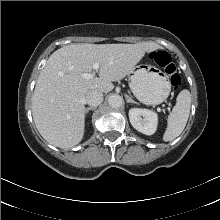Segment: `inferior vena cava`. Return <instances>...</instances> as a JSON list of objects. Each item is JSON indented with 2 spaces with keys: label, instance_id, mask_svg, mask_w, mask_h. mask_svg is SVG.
Listing matches in <instances>:
<instances>
[{
  "label": "inferior vena cava",
  "instance_id": "1",
  "mask_svg": "<svg viewBox=\"0 0 220 220\" xmlns=\"http://www.w3.org/2000/svg\"><path fill=\"white\" fill-rule=\"evenodd\" d=\"M103 101V94L97 90H89L85 95V103L91 107L100 105Z\"/></svg>",
  "mask_w": 220,
  "mask_h": 220
}]
</instances>
